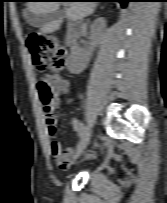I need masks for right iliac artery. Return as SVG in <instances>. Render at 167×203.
Masks as SVG:
<instances>
[{
	"mask_svg": "<svg viewBox=\"0 0 167 203\" xmlns=\"http://www.w3.org/2000/svg\"><path fill=\"white\" fill-rule=\"evenodd\" d=\"M86 129H87V127L85 126V124L82 123L81 127H80L79 137L83 136V133L85 132Z\"/></svg>",
	"mask_w": 167,
	"mask_h": 203,
	"instance_id": "obj_1",
	"label": "right iliac artery"
}]
</instances>
